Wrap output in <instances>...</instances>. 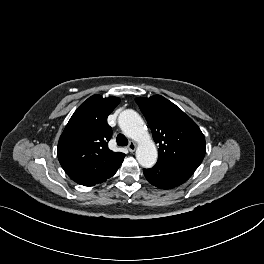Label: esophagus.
I'll use <instances>...</instances> for the list:
<instances>
[{"label":"esophagus","mask_w":264,"mask_h":264,"mask_svg":"<svg viewBox=\"0 0 264 264\" xmlns=\"http://www.w3.org/2000/svg\"><path fill=\"white\" fill-rule=\"evenodd\" d=\"M135 149H136V143L133 142V141H131V142L129 143V145H128V150H129L130 152H134Z\"/></svg>","instance_id":"esophagus-1"}]
</instances>
